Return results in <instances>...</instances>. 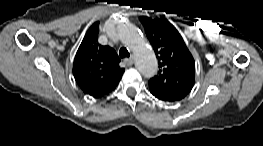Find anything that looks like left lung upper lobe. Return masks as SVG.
<instances>
[{
  "mask_svg": "<svg viewBox=\"0 0 263 146\" xmlns=\"http://www.w3.org/2000/svg\"><path fill=\"white\" fill-rule=\"evenodd\" d=\"M158 59L159 71L149 88L170 101L184 98L193 88L195 61L176 28L165 21L142 20Z\"/></svg>",
  "mask_w": 263,
  "mask_h": 146,
  "instance_id": "1",
  "label": "left lung upper lobe"
}]
</instances>
